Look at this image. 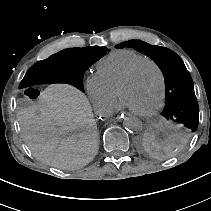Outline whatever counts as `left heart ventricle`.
Instances as JSON below:
<instances>
[{"label": "left heart ventricle", "mask_w": 211, "mask_h": 211, "mask_svg": "<svg viewBox=\"0 0 211 211\" xmlns=\"http://www.w3.org/2000/svg\"><path fill=\"white\" fill-rule=\"evenodd\" d=\"M160 80L154 66L141 67L122 90V102L131 111L148 112L158 102Z\"/></svg>", "instance_id": "left-heart-ventricle-1"}]
</instances>
